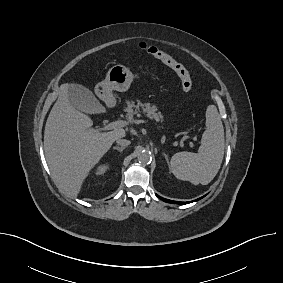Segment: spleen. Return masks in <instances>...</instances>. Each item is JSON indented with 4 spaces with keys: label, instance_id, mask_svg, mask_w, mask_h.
Listing matches in <instances>:
<instances>
[{
    "label": "spleen",
    "instance_id": "3e777b00",
    "mask_svg": "<svg viewBox=\"0 0 283 283\" xmlns=\"http://www.w3.org/2000/svg\"><path fill=\"white\" fill-rule=\"evenodd\" d=\"M224 128L215 105L206 110V130L197 153L179 152L172 156L170 169L177 179L207 185L217 175L224 156Z\"/></svg>",
    "mask_w": 283,
    "mask_h": 283
}]
</instances>
